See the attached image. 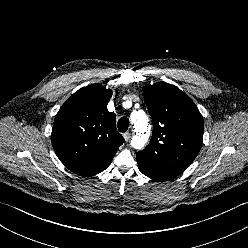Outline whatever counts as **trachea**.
Returning a JSON list of instances; mask_svg holds the SVG:
<instances>
[{"instance_id": "trachea-1", "label": "trachea", "mask_w": 248, "mask_h": 248, "mask_svg": "<svg viewBox=\"0 0 248 248\" xmlns=\"http://www.w3.org/2000/svg\"><path fill=\"white\" fill-rule=\"evenodd\" d=\"M129 119L127 117H121L118 121V130L119 132H125L127 131L129 127Z\"/></svg>"}]
</instances>
